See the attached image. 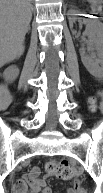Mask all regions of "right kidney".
I'll list each match as a JSON object with an SVG mask.
<instances>
[{
    "mask_svg": "<svg viewBox=\"0 0 103 193\" xmlns=\"http://www.w3.org/2000/svg\"><path fill=\"white\" fill-rule=\"evenodd\" d=\"M18 73V68L16 66H11L4 71V77L8 81H13L17 77Z\"/></svg>",
    "mask_w": 103,
    "mask_h": 193,
    "instance_id": "ca27d5eb",
    "label": "right kidney"
}]
</instances>
